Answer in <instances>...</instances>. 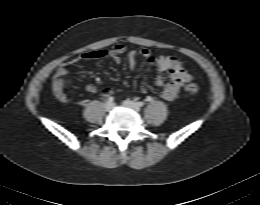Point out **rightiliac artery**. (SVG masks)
<instances>
[{
  "mask_svg": "<svg viewBox=\"0 0 260 205\" xmlns=\"http://www.w3.org/2000/svg\"><path fill=\"white\" fill-rule=\"evenodd\" d=\"M114 101V98L113 97H109L108 98V102H113Z\"/></svg>",
  "mask_w": 260,
  "mask_h": 205,
  "instance_id": "82829eb1",
  "label": "right iliac artery"
}]
</instances>
